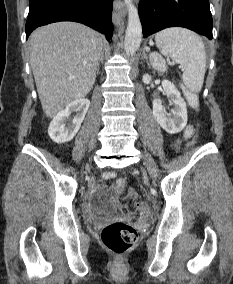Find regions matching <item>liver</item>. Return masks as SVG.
<instances>
[{"mask_svg":"<svg viewBox=\"0 0 233 284\" xmlns=\"http://www.w3.org/2000/svg\"><path fill=\"white\" fill-rule=\"evenodd\" d=\"M102 45L98 32L74 22L52 23L31 34V67L48 118L89 93L95 82Z\"/></svg>","mask_w":233,"mask_h":284,"instance_id":"liver-1","label":"liver"}]
</instances>
